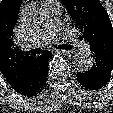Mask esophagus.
I'll return each mask as SVG.
<instances>
[{"label": "esophagus", "mask_w": 113, "mask_h": 113, "mask_svg": "<svg viewBox=\"0 0 113 113\" xmlns=\"http://www.w3.org/2000/svg\"><path fill=\"white\" fill-rule=\"evenodd\" d=\"M56 51L60 52V53H62L64 55H67V56H71L74 53L73 50H59V49H57Z\"/></svg>", "instance_id": "obj_1"}]
</instances>
